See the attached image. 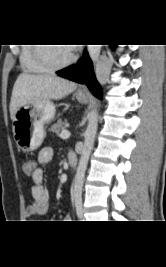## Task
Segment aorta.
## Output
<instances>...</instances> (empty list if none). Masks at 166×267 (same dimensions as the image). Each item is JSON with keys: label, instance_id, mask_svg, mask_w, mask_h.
I'll return each mask as SVG.
<instances>
[{"label": "aorta", "instance_id": "1", "mask_svg": "<svg viewBox=\"0 0 166 267\" xmlns=\"http://www.w3.org/2000/svg\"><path fill=\"white\" fill-rule=\"evenodd\" d=\"M102 45H89L88 53L94 65H97L100 57ZM98 114L93 110L89 114V122L84 133V146L80 156L79 165L74 178L73 196L76 202L82 199V188L84 183L85 172L87 169L88 160L91 150L94 145L95 135L97 131Z\"/></svg>", "mask_w": 166, "mask_h": 267}]
</instances>
